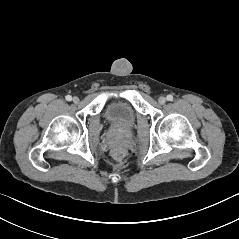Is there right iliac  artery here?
<instances>
[{
	"mask_svg": "<svg viewBox=\"0 0 239 239\" xmlns=\"http://www.w3.org/2000/svg\"><path fill=\"white\" fill-rule=\"evenodd\" d=\"M66 100H67V101H71V100H72V97H71L70 95H67V96H66Z\"/></svg>",
	"mask_w": 239,
	"mask_h": 239,
	"instance_id": "obj_1",
	"label": "right iliac artery"
}]
</instances>
